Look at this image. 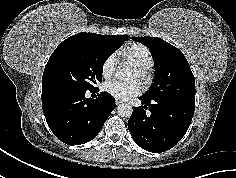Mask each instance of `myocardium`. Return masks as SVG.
I'll list each match as a JSON object with an SVG mask.
<instances>
[{
    "label": "myocardium",
    "mask_w": 236,
    "mask_h": 178,
    "mask_svg": "<svg viewBox=\"0 0 236 178\" xmlns=\"http://www.w3.org/2000/svg\"><path fill=\"white\" fill-rule=\"evenodd\" d=\"M134 69L137 71V78L144 84H148L152 79L151 69L143 65H134Z\"/></svg>",
    "instance_id": "f54148a6"
}]
</instances>
